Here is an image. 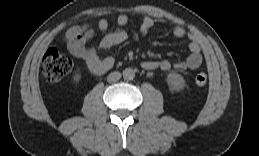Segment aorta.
Masks as SVG:
<instances>
[{"mask_svg":"<svg viewBox=\"0 0 259 156\" xmlns=\"http://www.w3.org/2000/svg\"><path fill=\"white\" fill-rule=\"evenodd\" d=\"M123 77L125 80H133L135 71L132 68H126L123 70Z\"/></svg>","mask_w":259,"mask_h":156,"instance_id":"762f6f07","label":"aorta"}]
</instances>
